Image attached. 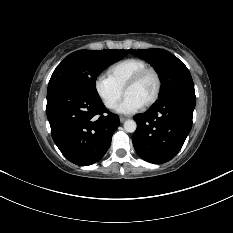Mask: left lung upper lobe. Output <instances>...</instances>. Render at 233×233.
<instances>
[{"label":"left lung upper lobe","mask_w":233,"mask_h":233,"mask_svg":"<svg viewBox=\"0 0 233 233\" xmlns=\"http://www.w3.org/2000/svg\"><path fill=\"white\" fill-rule=\"evenodd\" d=\"M129 52L145 59L158 71L162 82L159 101L177 95L195 98L191 74L184 63L173 54L162 49L129 50Z\"/></svg>","instance_id":"obj_1"}]
</instances>
